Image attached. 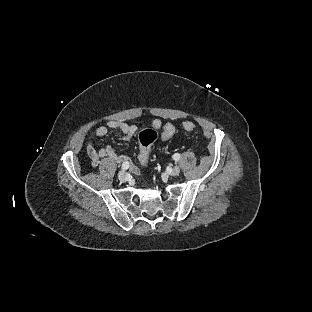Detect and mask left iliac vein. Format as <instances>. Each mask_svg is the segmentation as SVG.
Instances as JSON below:
<instances>
[{
  "label": "left iliac vein",
  "mask_w": 312,
  "mask_h": 312,
  "mask_svg": "<svg viewBox=\"0 0 312 312\" xmlns=\"http://www.w3.org/2000/svg\"><path fill=\"white\" fill-rule=\"evenodd\" d=\"M179 173H180V167H179V166H174V167L170 170V172H169V174H170L171 176H177Z\"/></svg>",
  "instance_id": "4c4485c4"
}]
</instances>
